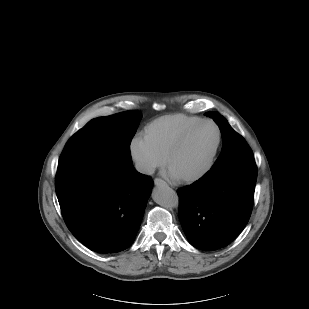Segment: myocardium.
<instances>
[{"instance_id":"f54148a6","label":"myocardium","mask_w":309,"mask_h":309,"mask_svg":"<svg viewBox=\"0 0 309 309\" xmlns=\"http://www.w3.org/2000/svg\"><path fill=\"white\" fill-rule=\"evenodd\" d=\"M203 124H211L217 130L218 139H217L215 149L212 153V156H211L208 164L206 165V167L203 170H201L200 172H198L194 175H191V176H185V177H179L178 178V180L182 183H193V182L199 181L200 179L204 178L212 170V168L214 167L215 162L217 160V156H218V153L220 151L222 141H223L222 129L219 126V124L217 122H215L214 120H212V119H202V120L194 123L190 127H188L186 130H184L179 135V137L174 141V143L172 144V146L170 147V149L168 150V152L165 156V164L169 165L171 158L178 152V150L182 147V145L185 143V141L188 139V137L192 134V132Z\"/></svg>"}]
</instances>
